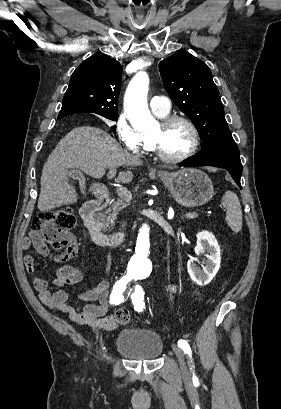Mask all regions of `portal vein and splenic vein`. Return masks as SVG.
Instances as JSON below:
<instances>
[{
	"label": "portal vein and splenic vein",
	"mask_w": 281,
	"mask_h": 409,
	"mask_svg": "<svg viewBox=\"0 0 281 409\" xmlns=\"http://www.w3.org/2000/svg\"><path fill=\"white\" fill-rule=\"evenodd\" d=\"M108 178H113V176H115V170L114 168H111V170H109L108 174H107ZM124 188V187H123ZM122 186H118L117 188V194L124 196L123 197V202L124 203H128L131 201V198L128 196L129 195V190L128 189H123ZM184 217H188V219L194 220L195 216H197V213H193V212H184L183 213ZM171 220V219H170Z\"/></svg>",
	"instance_id": "1"
}]
</instances>
